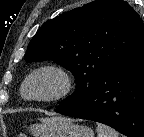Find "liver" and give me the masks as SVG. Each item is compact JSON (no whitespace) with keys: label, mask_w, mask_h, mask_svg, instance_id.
I'll list each match as a JSON object with an SVG mask.
<instances>
[{"label":"liver","mask_w":144,"mask_h":137,"mask_svg":"<svg viewBox=\"0 0 144 137\" xmlns=\"http://www.w3.org/2000/svg\"><path fill=\"white\" fill-rule=\"evenodd\" d=\"M47 119H48V118H45V119H44V118H42V121H45V120H47Z\"/></svg>","instance_id":"liver-1"}]
</instances>
